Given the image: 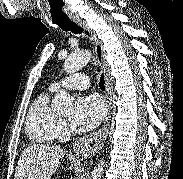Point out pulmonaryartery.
Listing matches in <instances>:
<instances>
[{
	"label": "pulmonary artery",
	"mask_w": 183,
	"mask_h": 179,
	"mask_svg": "<svg viewBox=\"0 0 183 179\" xmlns=\"http://www.w3.org/2000/svg\"><path fill=\"white\" fill-rule=\"evenodd\" d=\"M88 86H89L88 76L83 73H77V74L70 75L58 82H55L52 85V89L57 90L60 87H64L69 89L83 90L88 88Z\"/></svg>",
	"instance_id": "1"
}]
</instances>
